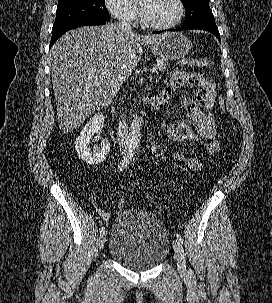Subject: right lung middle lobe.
Here are the masks:
<instances>
[{"instance_id": "1", "label": "right lung middle lobe", "mask_w": 272, "mask_h": 303, "mask_svg": "<svg viewBox=\"0 0 272 303\" xmlns=\"http://www.w3.org/2000/svg\"><path fill=\"white\" fill-rule=\"evenodd\" d=\"M109 19L105 0H58L53 28L79 20Z\"/></svg>"}]
</instances>
